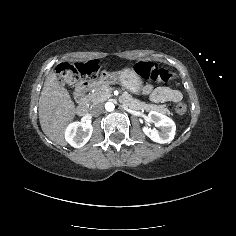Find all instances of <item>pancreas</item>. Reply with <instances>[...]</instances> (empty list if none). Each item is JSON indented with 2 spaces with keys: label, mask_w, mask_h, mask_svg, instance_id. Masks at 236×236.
I'll return each instance as SVG.
<instances>
[{
  "label": "pancreas",
  "mask_w": 236,
  "mask_h": 236,
  "mask_svg": "<svg viewBox=\"0 0 236 236\" xmlns=\"http://www.w3.org/2000/svg\"><path fill=\"white\" fill-rule=\"evenodd\" d=\"M123 90V93L119 96V102L124 104L126 107L135 110H155L161 114H171V110L168 109L166 105H154V104H147L145 102H140L136 100L134 97L130 95V93L126 92L123 87H120ZM113 89L108 84H103L100 87H94L92 92L89 93L85 98L84 101L88 105L97 104L99 102L106 101L110 96Z\"/></svg>",
  "instance_id": "1"
}]
</instances>
